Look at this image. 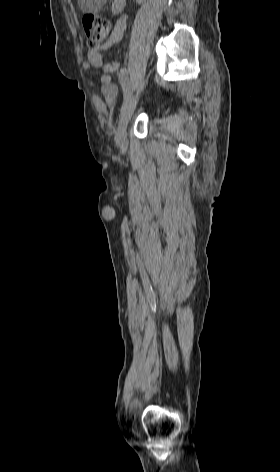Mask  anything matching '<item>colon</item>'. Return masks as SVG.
I'll use <instances>...</instances> for the list:
<instances>
[{"instance_id":"5ec220e1","label":"colon","mask_w":280,"mask_h":472,"mask_svg":"<svg viewBox=\"0 0 280 472\" xmlns=\"http://www.w3.org/2000/svg\"><path fill=\"white\" fill-rule=\"evenodd\" d=\"M82 26L86 34L90 52L99 49L103 42L108 38L111 31L110 24L107 21L93 14H86L83 16Z\"/></svg>"}]
</instances>
